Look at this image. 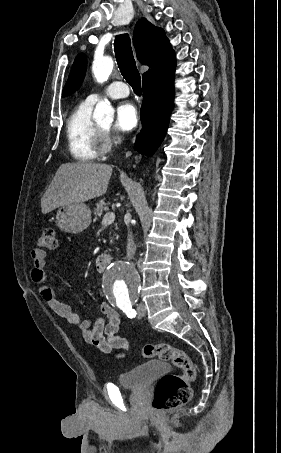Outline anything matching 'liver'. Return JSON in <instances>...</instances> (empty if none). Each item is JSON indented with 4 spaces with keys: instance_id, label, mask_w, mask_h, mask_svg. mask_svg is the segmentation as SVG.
Here are the masks:
<instances>
[{
    "instance_id": "liver-1",
    "label": "liver",
    "mask_w": 281,
    "mask_h": 453,
    "mask_svg": "<svg viewBox=\"0 0 281 453\" xmlns=\"http://www.w3.org/2000/svg\"><path fill=\"white\" fill-rule=\"evenodd\" d=\"M112 166L100 162L60 164L51 184L41 198L44 214L70 202H86L107 190Z\"/></svg>"
}]
</instances>
